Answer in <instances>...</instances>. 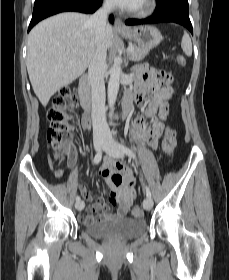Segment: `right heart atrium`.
Here are the masks:
<instances>
[{
  "label": "right heart atrium",
  "instance_id": "right-heart-atrium-1",
  "mask_svg": "<svg viewBox=\"0 0 229 280\" xmlns=\"http://www.w3.org/2000/svg\"><path fill=\"white\" fill-rule=\"evenodd\" d=\"M113 0H104V3L107 7H112L113 6Z\"/></svg>",
  "mask_w": 229,
  "mask_h": 280
}]
</instances>
